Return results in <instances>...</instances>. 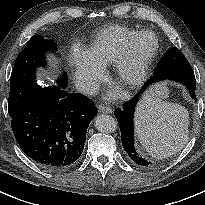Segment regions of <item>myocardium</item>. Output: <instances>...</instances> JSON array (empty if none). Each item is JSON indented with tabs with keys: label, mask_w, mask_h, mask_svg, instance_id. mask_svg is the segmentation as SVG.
<instances>
[{
	"label": "myocardium",
	"mask_w": 205,
	"mask_h": 205,
	"mask_svg": "<svg viewBox=\"0 0 205 205\" xmlns=\"http://www.w3.org/2000/svg\"><path fill=\"white\" fill-rule=\"evenodd\" d=\"M146 38L152 40V46L147 49L141 46V42ZM158 47V40L152 31L137 33L126 52L114 62L117 81L126 89L141 86L148 76L149 66L157 54Z\"/></svg>",
	"instance_id": "1"
}]
</instances>
